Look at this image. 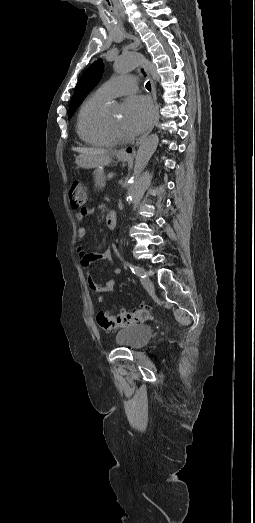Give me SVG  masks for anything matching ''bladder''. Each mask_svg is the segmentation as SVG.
I'll use <instances>...</instances> for the list:
<instances>
[{
	"instance_id": "bladder-1",
	"label": "bladder",
	"mask_w": 255,
	"mask_h": 523,
	"mask_svg": "<svg viewBox=\"0 0 255 523\" xmlns=\"http://www.w3.org/2000/svg\"><path fill=\"white\" fill-rule=\"evenodd\" d=\"M153 328L145 324L122 328L115 335V342L123 347L138 349L151 339Z\"/></svg>"
}]
</instances>
